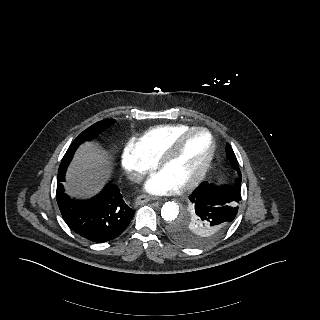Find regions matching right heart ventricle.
Listing matches in <instances>:
<instances>
[{"mask_svg":"<svg viewBox=\"0 0 320 320\" xmlns=\"http://www.w3.org/2000/svg\"><path fill=\"white\" fill-rule=\"evenodd\" d=\"M190 128L187 124L155 126L136 138L134 144L147 158L156 162L173 140Z\"/></svg>","mask_w":320,"mask_h":320,"instance_id":"e07e8e85","label":"right heart ventricle"}]
</instances>
